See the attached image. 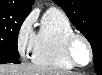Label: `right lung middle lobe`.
Listing matches in <instances>:
<instances>
[{"mask_svg": "<svg viewBox=\"0 0 102 75\" xmlns=\"http://www.w3.org/2000/svg\"><path fill=\"white\" fill-rule=\"evenodd\" d=\"M28 14L27 12L0 9V57L19 58L18 32Z\"/></svg>", "mask_w": 102, "mask_h": 75, "instance_id": "dd1d6c3e", "label": "right lung middle lobe"}]
</instances>
